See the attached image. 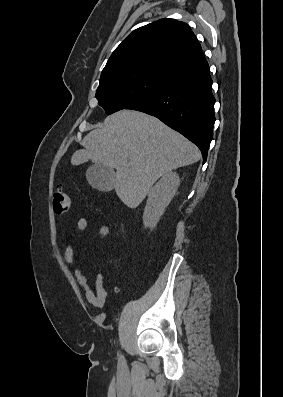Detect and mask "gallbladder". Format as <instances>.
I'll use <instances>...</instances> for the list:
<instances>
[{
	"instance_id": "bac80fb5",
	"label": "gallbladder",
	"mask_w": 283,
	"mask_h": 397,
	"mask_svg": "<svg viewBox=\"0 0 283 397\" xmlns=\"http://www.w3.org/2000/svg\"><path fill=\"white\" fill-rule=\"evenodd\" d=\"M88 183L101 192H109L114 188L115 172L103 164H94L86 171Z\"/></svg>"
}]
</instances>
